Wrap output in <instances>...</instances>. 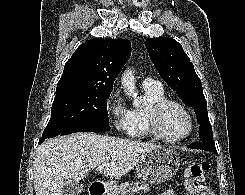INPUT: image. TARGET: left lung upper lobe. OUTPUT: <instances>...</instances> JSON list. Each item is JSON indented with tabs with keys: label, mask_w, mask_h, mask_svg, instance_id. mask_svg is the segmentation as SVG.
Returning a JSON list of instances; mask_svg holds the SVG:
<instances>
[{
	"label": "left lung upper lobe",
	"mask_w": 245,
	"mask_h": 195,
	"mask_svg": "<svg viewBox=\"0 0 245 195\" xmlns=\"http://www.w3.org/2000/svg\"><path fill=\"white\" fill-rule=\"evenodd\" d=\"M145 46L160 76L187 106L194 109L200 124V141L215 146L201 80L182 46L168 37L146 39Z\"/></svg>",
	"instance_id": "left-lung-upper-lobe-1"
}]
</instances>
